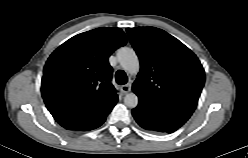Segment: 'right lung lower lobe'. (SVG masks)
<instances>
[{
  "instance_id": "1",
  "label": "right lung lower lobe",
  "mask_w": 248,
  "mask_h": 158,
  "mask_svg": "<svg viewBox=\"0 0 248 158\" xmlns=\"http://www.w3.org/2000/svg\"><path fill=\"white\" fill-rule=\"evenodd\" d=\"M109 113H110V112H109ZM109 113H108V114H109ZM108 114H107V115H108ZM107 115H105V116L102 117L101 119H99V120H97V121H95V122H93V123H91V124H89V125H87V126L81 128V129H78V130L87 131V130H92V129H95V128L99 127L100 125H102V124L104 123V121H105Z\"/></svg>"
}]
</instances>
